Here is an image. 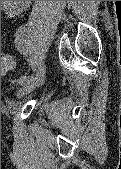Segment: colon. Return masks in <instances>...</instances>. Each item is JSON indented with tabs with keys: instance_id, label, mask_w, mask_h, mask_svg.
Instances as JSON below:
<instances>
[{
	"instance_id": "obj_1",
	"label": "colon",
	"mask_w": 121,
	"mask_h": 169,
	"mask_svg": "<svg viewBox=\"0 0 121 169\" xmlns=\"http://www.w3.org/2000/svg\"><path fill=\"white\" fill-rule=\"evenodd\" d=\"M15 66L14 57L10 53H3L1 56V73L5 74Z\"/></svg>"
}]
</instances>
